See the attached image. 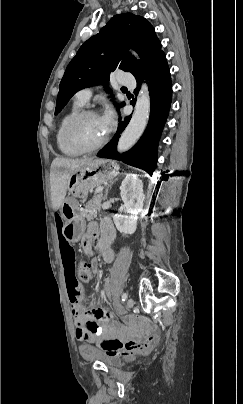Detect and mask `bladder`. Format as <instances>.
I'll list each match as a JSON object with an SVG mask.
<instances>
[{"label": "bladder", "instance_id": "obj_1", "mask_svg": "<svg viewBox=\"0 0 243 404\" xmlns=\"http://www.w3.org/2000/svg\"><path fill=\"white\" fill-rule=\"evenodd\" d=\"M80 356L87 361H99L108 367H119L122 359L90 344H81L78 347Z\"/></svg>", "mask_w": 243, "mask_h": 404}]
</instances>
